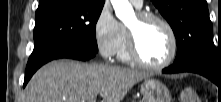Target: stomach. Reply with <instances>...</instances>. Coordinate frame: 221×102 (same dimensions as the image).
Here are the masks:
<instances>
[{
  "label": "stomach",
  "mask_w": 221,
  "mask_h": 102,
  "mask_svg": "<svg viewBox=\"0 0 221 102\" xmlns=\"http://www.w3.org/2000/svg\"><path fill=\"white\" fill-rule=\"evenodd\" d=\"M140 90L145 102H171L170 91L158 80H145L141 84Z\"/></svg>",
  "instance_id": "obj_1"
}]
</instances>
